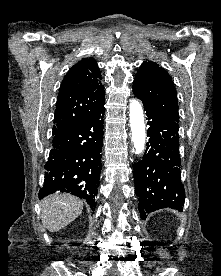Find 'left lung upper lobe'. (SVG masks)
<instances>
[{"label":"left lung upper lobe","instance_id":"5c2ea615","mask_svg":"<svg viewBox=\"0 0 221 276\" xmlns=\"http://www.w3.org/2000/svg\"><path fill=\"white\" fill-rule=\"evenodd\" d=\"M134 95L144 110L162 120L179 122L177 93L170 75L158 64L142 63L133 82Z\"/></svg>","mask_w":221,"mask_h":276}]
</instances>
